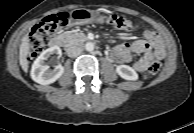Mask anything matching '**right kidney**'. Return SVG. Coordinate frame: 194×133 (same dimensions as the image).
Instances as JSON below:
<instances>
[{"label":"right kidney","instance_id":"ca27d5eb","mask_svg":"<svg viewBox=\"0 0 194 133\" xmlns=\"http://www.w3.org/2000/svg\"><path fill=\"white\" fill-rule=\"evenodd\" d=\"M57 54L61 56V49L59 47H51L44 50L38 58L34 61L31 69V78L41 85H48L54 83L61 77L64 72V67L61 64L55 66L54 69H49L45 64L51 55Z\"/></svg>","mask_w":194,"mask_h":133}]
</instances>
